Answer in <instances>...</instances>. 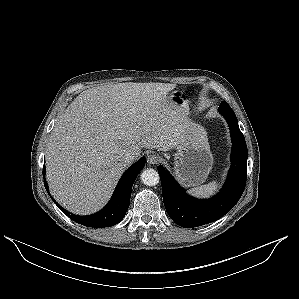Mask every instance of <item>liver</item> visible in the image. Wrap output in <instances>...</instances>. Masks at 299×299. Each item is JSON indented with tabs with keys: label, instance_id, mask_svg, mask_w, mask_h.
Returning <instances> with one entry per match:
<instances>
[{
	"label": "liver",
	"instance_id": "obj_1",
	"mask_svg": "<svg viewBox=\"0 0 299 299\" xmlns=\"http://www.w3.org/2000/svg\"><path fill=\"white\" fill-rule=\"evenodd\" d=\"M167 83H118L83 91L60 116L48 140L51 192L76 214L98 211L128 168L127 151L179 149L190 125L188 103L169 98Z\"/></svg>",
	"mask_w": 299,
	"mask_h": 299
}]
</instances>
